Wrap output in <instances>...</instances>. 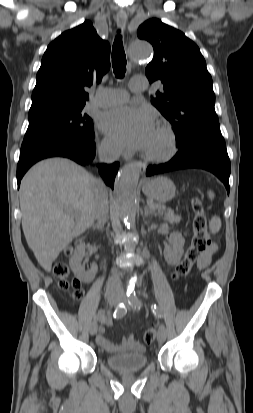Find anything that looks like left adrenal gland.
<instances>
[{
    "mask_svg": "<svg viewBox=\"0 0 253 413\" xmlns=\"http://www.w3.org/2000/svg\"><path fill=\"white\" fill-rule=\"evenodd\" d=\"M156 216V213L153 209L149 208V206H145L144 207V216L147 218L148 216Z\"/></svg>",
    "mask_w": 253,
    "mask_h": 413,
    "instance_id": "1",
    "label": "left adrenal gland"
}]
</instances>
